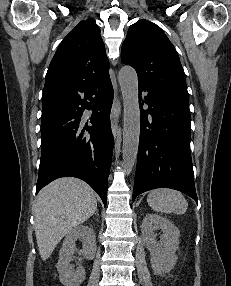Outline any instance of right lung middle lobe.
<instances>
[{"instance_id":"right-lung-middle-lobe-1","label":"right lung middle lobe","mask_w":231,"mask_h":286,"mask_svg":"<svg viewBox=\"0 0 231 286\" xmlns=\"http://www.w3.org/2000/svg\"><path fill=\"white\" fill-rule=\"evenodd\" d=\"M59 113H60V111L57 108L43 110L42 111V120H46L48 118H51V117H53Z\"/></svg>"}]
</instances>
